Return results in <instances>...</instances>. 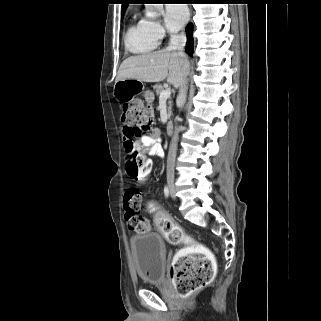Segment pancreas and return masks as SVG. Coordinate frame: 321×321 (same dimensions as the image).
Returning <instances> with one entry per match:
<instances>
[{
  "instance_id": "pancreas-1",
  "label": "pancreas",
  "mask_w": 321,
  "mask_h": 321,
  "mask_svg": "<svg viewBox=\"0 0 321 321\" xmlns=\"http://www.w3.org/2000/svg\"><path fill=\"white\" fill-rule=\"evenodd\" d=\"M154 90L156 92L157 95H160L161 92L164 90L163 86L161 84H156L154 85ZM172 101L169 100L168 101V116L170 117L172 114Z\"/></svg>"
}]
</instances>
